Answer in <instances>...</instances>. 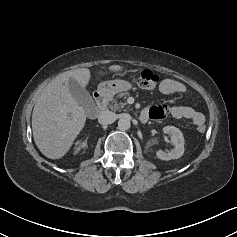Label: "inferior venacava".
<instances>
[{"label":"inferior vena cava","mask_w":237,"mask_h":237,"mask_svg":"<svg viewBox=\"0 0 237 237\" xmlns=\"http://www.w3.org/2000/svg\"><path fill=\"white\" fill-rule=\"evenodd\" d=\"M116 120V114L112 111L105 110L98 115V122L102 125L111 124Z\"/></svg>","instance_id":"inferior-vena-cava-1"}]
</instances>
